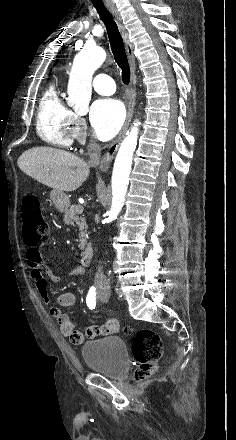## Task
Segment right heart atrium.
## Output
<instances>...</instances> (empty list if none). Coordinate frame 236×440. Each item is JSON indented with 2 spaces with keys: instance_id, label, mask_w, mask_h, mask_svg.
<instances>
[{
  "instance_id": "right-heart-atrium-1",
  "label": "right heart atrium",
  "mask_w": 236,
  "mask_h": 440,
  "mask_svg": "<svg viewBox=\"0 0 236 440\" xmlns=\"http://www.w3.org/2000/svg\"><path fill=\"white\" fill-rule=\"evenodd\" d=\"M73 138L84 143L88 137V129L84 118L74 115L72 119Z\"/></svg>"
}]
</instances>
